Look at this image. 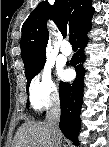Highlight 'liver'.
<instances>
[{
  "label": "liver",
  "instance_id": "1",
  "mask_svg": "<svg viewBox=\"0 0 109 147\" xmlns=\"http://www.w3.org/2000/svg\"><path fill=\"white\" fill-rule=\"evenodd\" d=\"M60 144L62 134L58 135ZM13 147H54L52 135L46 122L26 121L17 130Z\"/></svg>",
  "mask_w": 109,
  "mask_h": 147
}]
</instances>
